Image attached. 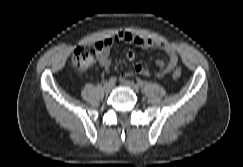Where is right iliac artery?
<instances>
[{
	"instance_id": "1",
	"label": "right iliac artery",
	"mask_w": 243,
	"mask_h": 167,
	"mask_svg": "<svg viewBox=\"0 0 243 167\" xmlns=\"http://www.w3.org/2000/svg\"><path fill=\"white\" fill-rule=\"evenodd\" d=\"M117 81V78L112 76L110 79H109V82L112 83L113 85L116 83Z\"/></svg>"
}]
</instances>
